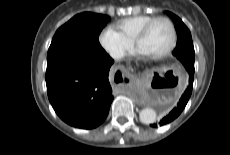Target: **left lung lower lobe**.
I'll return each instance as SVG.
<instances>
[{
  "mask_svg": "<svg viewBox=\"0 0 230 155\" xmlns=\"http://www.w3.org/2000/svg\"><path fill=\"white\" fill-rule=\"evenodd\" d=\"M180 60L189 74V83L187 85L186 90L184 91L181 98L179 99V102L177 103V105L158 124H155V123L151 124L150 126L153 128H156L158 125L160 126L165 125L173 121L175 118H177L180 115V113L183 111L184 107L186 106L191 96L192 88H193V79H194V62L189 60L188 58H185V59L180 58Z\"/></svg>",
  "mask_w": 230,
  "mask_h": 155,
  "instance_id": "0a47b994",
  "label": "left lung lower lobe"
}]
</instances>
